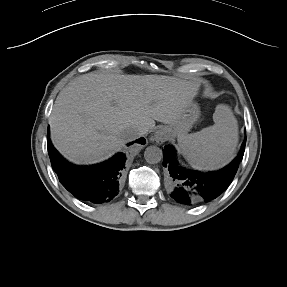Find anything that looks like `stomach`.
I'll return each instance as SVG.
<instances>
[{
  "label": "stomach",
  "mask_w": 287,
  "mask_h": 287,
  "mask_svg": "<svg viewBox=\"0 0 287 287\" xmlns=\"http://www.w3.org/2000/svg\"><path fill=\"white\" fill-rule=\"evenodd\" d=\"M200 115L198 104L191 102L185 109L180 119L164 126L161 131L168 139H173L182 135H186L192 125L197 121Z\"/></svg>",
  "instance_id": "0dacf381"
}]
</instances>
